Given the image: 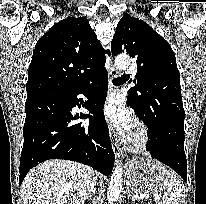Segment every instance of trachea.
<instances>
[{
	"instance_id": "trachea-1",
	"label": "trachea",
	"mask_w": 206,
	"mask_h": 204,
	"mask_svg": "<svg viewBox=\"0 0 206 204\" xmlns=\"http://www.w3.org/2000/svg\"><path fill=\"white\" fill-rule=\"evenodd\" d=\"M120 82H121V79H120V78H117V79H114V80H113V83H114V84H117V83H120Z\"/></svg>"
}]
</instances>
